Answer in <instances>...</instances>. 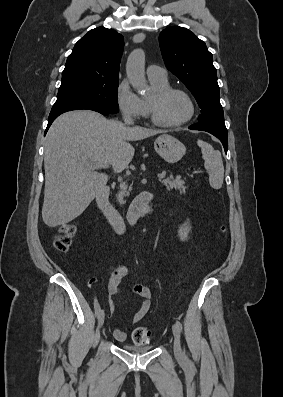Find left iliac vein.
<instances>
[{"label":"left iliac vein","mask_w":283,"mask_h":397,"mask_svg":"<svg viewBox=\"0 0 283 397\" xmlns=\"http://www.w3.org/2000/svg\"><path fill=\"white\" fill-rule=\"evenodd\" d=\"M172 331L174 335V346H173L174 354L176 358L180 359L183 357V352L180 343V331L178 330L176 325H173Z\"/></svg>","instance_id":"obj_1"}]
</instances>
